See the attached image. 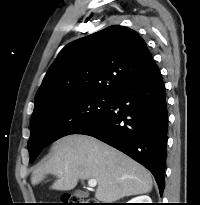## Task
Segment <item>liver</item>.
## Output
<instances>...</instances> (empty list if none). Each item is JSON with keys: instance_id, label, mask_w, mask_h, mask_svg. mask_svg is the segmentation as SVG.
Returning a JSON list of instances; mask_svg holds the SVG:
<instances>
[{"instance_id": "obj_1", "label": "liver", "mask_w": 200, "mask_h": 205, "mask_svg": "<svg viewBox=\"0 0 200 205\" xmlns=\"http://www.w3.org/2000/svg\"><path fill=\"white\" fill-rule=\"evenodd\" d=\"M48 161L33 171L32 185L47 174L57 176L51 189L68 191L79 180L95 179V198L112 203L126 196L145 194L152 190L150 172L119 150L87 135H68L57 140Z\"/></svg>"}]
</instances>
